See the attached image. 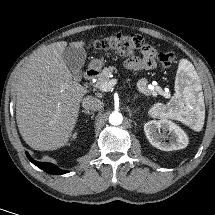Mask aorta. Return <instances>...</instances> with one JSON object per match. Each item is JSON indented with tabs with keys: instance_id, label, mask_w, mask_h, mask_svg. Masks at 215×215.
Segmentation results:
<instances>
[{
	"instance_id": "obj_1",
	"label": "aorta",
	"mask_w": 215,
	"mask_h": 215,
	"mask_svg": "<svg viewBox=\"0 0 215 215\" xmlns=\"http://www.w3.org/2000/svg\"><path fill=\"white\" fill-rule=\"evenodd\" d=\"M122 121H123V117H122V114L119 112H113L109 116V123L112 125H120Z\"/></svg>"
}]
</instances>
